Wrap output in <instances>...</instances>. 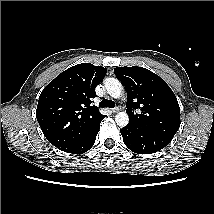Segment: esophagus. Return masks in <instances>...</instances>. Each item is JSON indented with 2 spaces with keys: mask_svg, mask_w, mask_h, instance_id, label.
<instances>
[{
  "mask_svg": "<svg viewBox=\"0 0 214 214\" xmlns=\"http://www.w3.org/2000/svg\"><path fill=\"white\" fill-rule=\"evenodd\" d=\"M119 110H120V107H116V108L112 109L111 111H112L113 113H116V112H118Z\"/></svg>",
  "mask_w": 214,
  "mask_h": 214,
  "instance_id": "1",
  "label": "esophagus"
}]
</instances>
